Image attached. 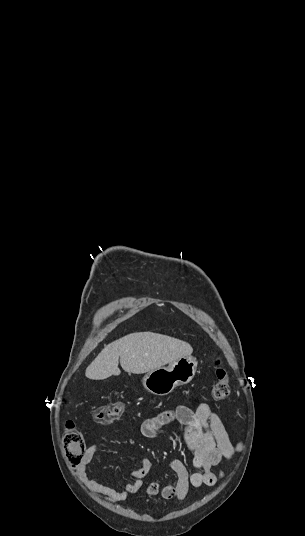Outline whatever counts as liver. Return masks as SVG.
I'll return each mask as SVG.
<instances>
[{
  "label": "liver",
  "instance_id": "obj_1",
  "mask_svg": "<svg viewBox=\"0 0 305 536\" xmlns=\"http://www.w3.org/2000/svg\"><path fill=\"white\" fill-rule=\"evenodd\" d=\"M193 348L187 342L153 334L137 332L105 346L97 358L85 370L89 380H106L121 374L118 364L128 374H146L166 364L177 362L183 356H191Z\"/></svg>",
  "mask_w": 305,
  "mask_h": 536
}]
</instances>
